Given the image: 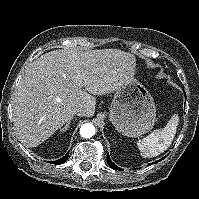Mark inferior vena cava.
I'll use <instances>...</instances> for the list:
<instances>
[{"instance_id":"602c4592","label":"inferior vena cava","mask_w":199,"mask_h":199,"mask_svg":"<svg viewBox=\"0 0 199 199\" xmlns=\"http://www.w3.org/2000/svg\"><path fill=\"white\" fill-rule=\"evenodd\" d=\"M74 114L77 115V116H85L86 115V110L82 106H77L74 109Z\"/></svg>"}]
</instances>
